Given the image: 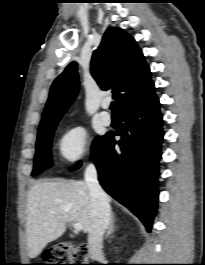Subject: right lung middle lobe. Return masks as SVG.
Returning <instances> with one entry per match:
<instances>
[{
	"mask_svg": "<svg viewBox=\"0 0 205 265\" xmlns=\"http://www.w3.org/2000/svg\"><path fill=\"white\" fill-rule=\"evenodd\" d=\"M57 124H52L40 131H38V138L36 143V154L34 158V168L32 172V176L38 175L42 173L44 170L50 168L52 166L51 160V143L54 130ZM102 137H97L93 144L92 150L93 152L96 150L98 145L100 144ZM93 154V153H92ZM80 167V164L75 165L71 170H76Z\"/></svg>",
	"mask_w": 205,
	"mask_h": 265,
	"instance_id": "1",
	"label": "right lung middle lobe"
}]
</instances>
